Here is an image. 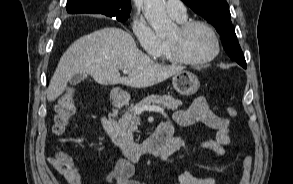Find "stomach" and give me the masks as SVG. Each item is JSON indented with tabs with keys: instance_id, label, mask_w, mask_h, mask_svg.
<instances>
[{
	"instance_id": "0dacf381",
	"label": "stomach",
	"mask_w": 293,
	"mask_h": 184,
	"mask_svg": "<svg viewBox=\"0 0 293 184\" xmlns=\"http://www.w3.org/2000/svg\"><path fill=\"white\" fill-rule=\"evenodd\" d=\"M173 88L181 95L190 96L195 94L200 82L198 77L190 71H181L172 78ZM127 93L119 88H114L111 91V96L116 100H122Z\"/></svg>"
}]
</instances>
